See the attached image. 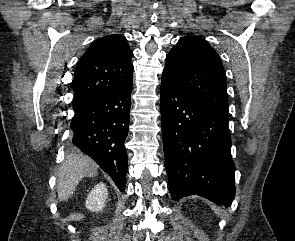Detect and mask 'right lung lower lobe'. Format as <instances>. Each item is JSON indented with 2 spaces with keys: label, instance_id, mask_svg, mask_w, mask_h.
Masks as SVG:
<instances>
[{
  "label": "right lung lower lobe",
  "instance_id": "obj_1",
  "mask_svg": "<svg viewBox=\"0 0 295 241\" xmlns=\"http://www.w3.org/2000/svg\"><path fill=\"white\" fill-rule=\"evenodd\" d=\"M133 84L73 103V143L108 173L125 191L128 135Z\"/></svg>",
  "mask_w": 295,
  "mask_h": 241
}]
</instances>
